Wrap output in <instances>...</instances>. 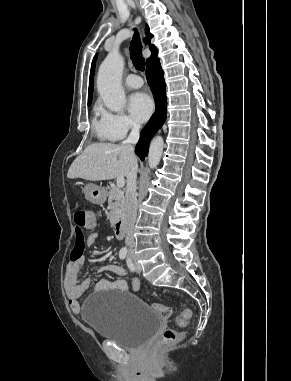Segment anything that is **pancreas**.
Segmentation results:
<instances>
[{
	"label": "pancreas",
	"mask_w": 291,
	"mask_h": 381,
	"mask_svg": "<svg viewBox=\"0 0 291 381\" xmlns=\"http://www.w3.org/2000/svg\"><path fill=\"white\" fill-rule=\"evenodd\" d=\"M124 204V191L118 187H112L108 193V208L110 209L109 216L112 226L119 220Z\"/></svg>",
	"instance_id": "pancreas-1"
}]
</instances>
